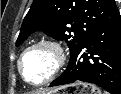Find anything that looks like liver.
Wrapping results in <instances>:
<instances>
[{"mask_svg": "<svg viewBox=\"0 0 121 94\" xmlns=\"http://www.w3.org/2000/svg\"><path fill=\"white\" fill-rule=\"evenodd\" d=\"M38 94H45L44 92H42V93H38Z\"/></svg>", "mask_w": 121, "mask_h": 94, "instance_id": "obj_1", "label": "liver"}]
</instances>
